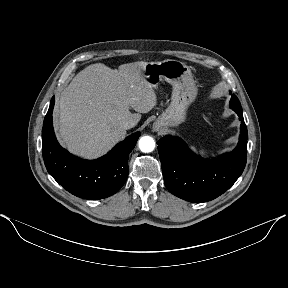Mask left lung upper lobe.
<instances>
[{
    "label": "left lung upper lobe",
    "instance_id": "5c2ea615",
    "mask_svg": "<svg viewBox=\"0 0 288 288\" xmlns=\"http://www.w3.org/2000/svg\"><path fill=\"white\" fill-rule=\"evenodd\" d=\"M229 106H230V108L232 110H237V111H241L242 112L241 104H240L237 96L234 95V94H232V98H231Z\"/></svg>",
    "mask_w": 288,
    "mask_h": 288
}]
</instances>
